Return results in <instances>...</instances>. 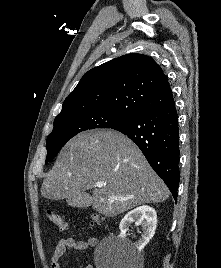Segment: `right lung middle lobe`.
I'll return each instance as SVG.
<instances>
[{"instance_id": "right-lung-middle-lobe-1", "label": "right lung middle lobe", "mask_w": 221, "mask_h": 268, "mask_svg": "<svg viewBox=\"0 0 221 268\" xmlns=\"http://www.w3.org/2000/svg\"><path fill=\"white\" fill-rule=\"evenodd\" d=\"M130 120L128 117L106 109H91L59 114L54 121V129L47 137L46 164L76 134L95 128H113Z\"/></svg>"}]
</instances>
